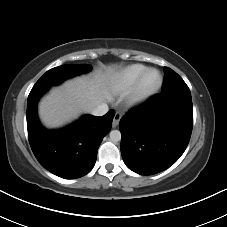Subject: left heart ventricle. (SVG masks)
<instances>
[{"mask_svg":"<svg viewBox=\"0 0 227 227\" xmlns=\"http://www.w3.org/2000/svg\"><path fill=\"white\" fill-rule=\"evenodd\" d=\"M158 81V74L156 72H150L144 79L143 87L145 89H150L156 85Z\"/></svg>","mask_w":227,"mask_h":227,"instance_id":"b2bd125f","label":"left heart ventricle"}]
</instances>
